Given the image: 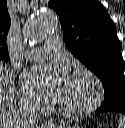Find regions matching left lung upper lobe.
Instances as JSON below:
<instances>
[{
    "instance_id": "5c2ea615",
    "label": "left lung upper lobe",
    "mask_w": 125,
    "mask_h": 128,
    "mask_svg": "<svg viewBox=\"0 0 125 128\" xmlns=\"http://www.w3.org/2000/svg\"><path fill=\"white\" fill-rule=\"evenodd\" d=\"M69 50L101 80L102 105L125 100L124 60L115 24L96 0H50Z\"/></svg>"
}]
</instances>
